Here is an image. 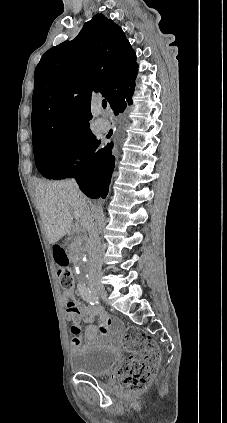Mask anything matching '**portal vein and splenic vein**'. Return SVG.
Returning <instances> with one entry per match:
<instances>
[{
  "label": "portal vein and splenic vein",
  "instance_id": "18ae733b",
  "mask_svg": "<svg viewBox=\"0 0 227 423\" xmlns=\"http://www.w3.org/2000/svg\"><path fill=\"white\" fill-rule=\"evenodd\" d=\"M74 215V217H78V213H76V214H73Z\"/></svg>",
  "mask_w": 227,
  "mask_h": 423
}]
</instances>
